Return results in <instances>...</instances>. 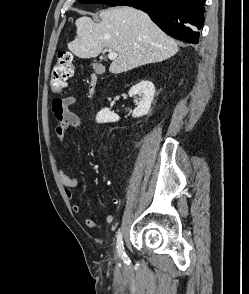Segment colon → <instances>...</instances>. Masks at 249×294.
Listing matches in <instances>:
<instances>
[{
    "mask_svg": "<svg viewBox=\"0 0 249 294\" xmlns=\"http://www.w3.org/2000/svg\"><path fill=\"white\" fill-rule=\"evenodd\" d=\"M76 74V64L70 52H61L56 63L53 65L49 85L54 93H61L69 78L74 77Z\"/></svg>",
    "mask_w": 249,
    "mask_h": 294,
    "instance_id": "obj_1",
    "label": "colon"
}]
</instances>
